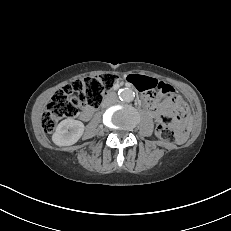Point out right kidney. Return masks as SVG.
Segmentation results:
<instances>
[{
	"label": "right kidney",
	"instance_id": "1",
	"mask_svg": "<svg viewBox=\"0 0 231 231\" xmlns=\"http://www.w3.org/2000/svg\"><path fill=\"white\" fill-rule=\"evenodd\" d=\"M83 132L84 124L81 121L67 118L58 124L52 141L58 146H69L76 143Z\"/></svg>",
	"mask_w": 231,
	"mask_h": 231
}]
</instances>
